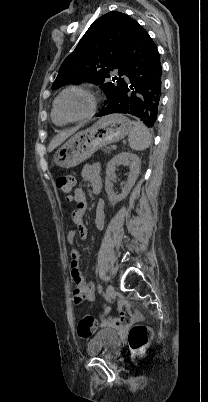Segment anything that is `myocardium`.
<instances>
[{
    "label": "myocardium",
    "instance_id": "f54148a6",
    "mask_svg": "<svg viewBox=\"0 0 208 402\" xmlns=\"http://www.w3.org/2000/svg\"><path fill=\"white\" fill-rule=\"evenodd\" d=\"M72 90H77V91L87 93V94L91 95L93 98V104H92L91 109L86 114H84L80 117H76V118H68V117L64 116L58 109V101L61 98V96L64 95L66 92L72 91ZM100 100H101V98H100L99 94L96 91H94L93 89L82 87V86H68L65 89H63L55 98L54 103H53V109H54L55 113L58 115V117L63 122H66V123L78 122V121H83V120H86V119L92 117L98 109Z\"/></svg>",
    "mask_w": 208,
    "mask_h": 402
}]
</instances>
